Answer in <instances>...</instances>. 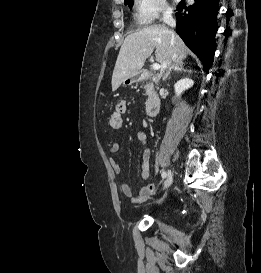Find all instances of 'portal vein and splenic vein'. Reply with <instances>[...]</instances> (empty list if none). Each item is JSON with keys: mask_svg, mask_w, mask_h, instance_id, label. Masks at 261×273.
<instances>
[{"mask_svg": "<svg viewBox=\"0 0 261 273\" xmlns=\"http://www.w3.org/2000/svg\"><path fill=\"white\" fill-rule=\"evenodd\" d=\"M160 64H158V63H154L153 65H152V69L153 70H159L160 69Z\"/></svg>", "mask_w": 261, "mask_h": 273, "instance_id": "portal-vein-and-splenic-vein-1", "label": "portal vein and splenic vein"}]
</instances>
